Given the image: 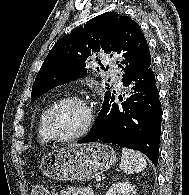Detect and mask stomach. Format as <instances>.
Returning <instances> with one entry per match:
<instances>
[{
	"label": "stomach",
	"instance_id": "obj_1",
	"mask_svg": "<svg viewBox=\"0 0 189 195\" xmlns=\"http://www.w3.org/2000/svg\"><path fill=\"white\" fill-rule=\"evenodd\" d=\"M115 162L113 148L95 142L52 150L44 156L40 167L45 176L54 180L86 181L108 170Z\"/></svg>",
	"mask_w": 189,
	"mask_h": 195
}]
</instances>
